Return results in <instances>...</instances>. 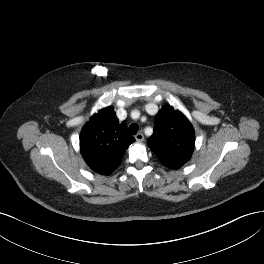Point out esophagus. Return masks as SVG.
Listing matches in <instances>:
<instances>
[{
    "label": "esophagus",
    "mask_w": 264,
    "mask_h": 264,
    "mask_svg": "<svg viewBox=\"0 0 264 264\" xmlns=\"http://www.w3.org/2000/svg\"><path fill=\"white\" fill-rule=\"evenodd\" d=\"M135 139H136V141H138V142H143V141H144V135H143L142 133H137V134L135 135Z\"/></svg>",
    "instance_id": "esophagus-1"
}]
</instances>
